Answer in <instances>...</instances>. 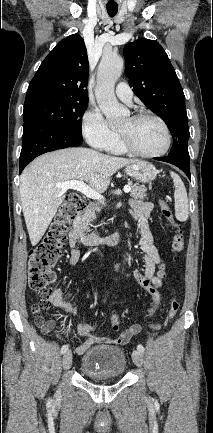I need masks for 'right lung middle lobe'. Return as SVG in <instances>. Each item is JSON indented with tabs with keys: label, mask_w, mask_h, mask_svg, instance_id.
I'll use <instances>...</instances> for the list:
<instances>
[{
	"label": "right lung middle lobe",
	"mask_w": 213,
	"mask_h": 433,
	"mask_svg": "<svg viewBox=\"0 0 213 433\" xmlns=\"http://www.w3.org/2000/svg\"><path fill=\"white\" fill-rule=\"evenodd\" d=\"M88 99L37 95L26 97L23 118L39 119L82 138V116L87 109Z\"/></svg>",
	"instance_id": "dd1d6c3e"
}]
</instances>
